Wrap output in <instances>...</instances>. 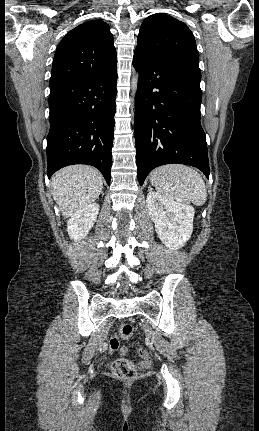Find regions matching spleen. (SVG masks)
<instances>
[{
	"label": "spleen",
	"mask_w": 259,
	"mask_h": 431,
	"mask_svg": "<svg viewBox=\"0 0 259 431\" xmlns=\"http://www.w3.org/2000/svg\"><path fill=\"white\" fill-rule=\"evenodd\" d=\"M151 184L163 196L181 203L201 206L206 202L207 190L201 175L191 167L170 164L154 169Z\"/></svg>",
	"instance_id": "1"
}]
</instances>
